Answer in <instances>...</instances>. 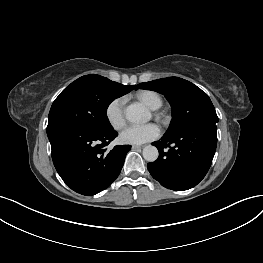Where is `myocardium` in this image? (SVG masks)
<instances>
[{
    "label": "myocardium",
    "instance_id": "myocardium-1",
    "mask_svg": "<svg viewBox=\"0 0 263 263\" xmlns=\"http://www.w3.org/2000/svg\"><path fill=\"white\" fill-rule=\"evenodd\" d=\"M155 116L160 117V116H161V113L158 112V111H156V112H155Z\"/></svg>",
    "mask_w": 263,
    "mask_h": 263
}]
</instances>
